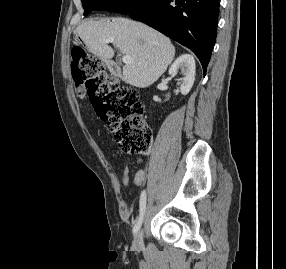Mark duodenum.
Segmentation results:
<instances>
[{"instance_id": "1", "label": "duodenum", "mask_w": 286, "mask_h": 269, "mask_svg": "<svg viewBox=\"0 0 286 269\" xmlns=\"http://www.w3.org/2000/svg\"><path fill=\"white\" fill-rule=\"evenodd\" d=\"M107 66L109 68V70L115 74V75H120V69L118 67V65L114 62H107Z\"/></svg>"}]
</instances>
